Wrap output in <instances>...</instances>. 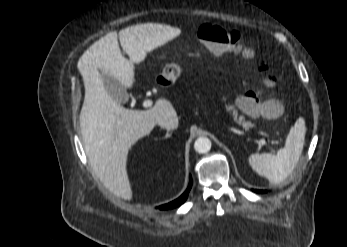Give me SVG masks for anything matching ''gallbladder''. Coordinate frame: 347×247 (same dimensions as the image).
I'll return each instance as SVG.
<instances>
[{
    "mask_svg": "<svg viewBox=\"0 0 347 247\" xmlns=\"http://www.w3.org/2000/svg\"><path fill=\"white\" fill-rule=\"evenodd\" d=\"M102 79L108 94L116 101L125 103L129 100V95L125 88L109 74L102 73Z\"/></svg>",
    "mask_w": 347,
    "mask_h": 247,
    "instance_id": "bac80fb5",
    "label": "gallbladder"
}]
</instances>
